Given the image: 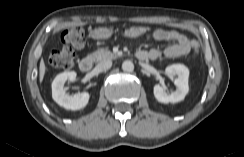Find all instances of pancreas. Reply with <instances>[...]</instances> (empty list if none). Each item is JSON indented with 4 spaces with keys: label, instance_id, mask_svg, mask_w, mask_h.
Here are the masks:
<instances>
[{
    "label": "pancreas",
    "instance_id": "cf45deb5",
    "mask_svg": "<svg viewBox=\"0 0 244 157\" xmlns=\"http://www.w3.org/2000/svg\"><path fill=\"white\" fill-rule=\"evenodd\" d=\"M117 57H118L117 54H114L107 49L97 50L89 55V58H91L95 62L116 59Z\"/></svg>",
    "mask_w": 244,
    "mask_h": 157
}]
</instances>
